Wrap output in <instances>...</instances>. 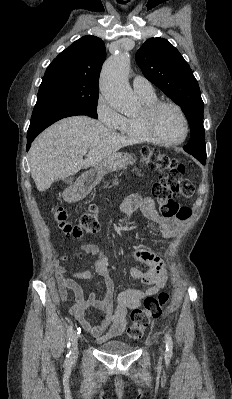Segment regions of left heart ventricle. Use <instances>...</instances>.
Here are the masks:
<instances>
[{
	"label": "left heart ventricle",
	"instance_id": "b2bd125f",
	"mask_svg": "<svg viewBox=\"0 0 232 399\" xmlns=\"http://www.w3.org/2000/svg\"><path fill=\"white\" fill-rule=\"evenodd\" d=\"M155 132L166 140H180L185 133L184 123L179 113L170 106L162 107L154 117Z\"/></svg>",
	"mask_w": 232,
	"mask_h": 399
}]
</instances>
